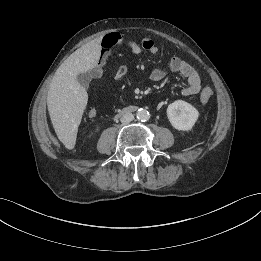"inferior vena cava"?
I'll return each mask as SVG.
<instances>
[{"label": "inferior vena cava", "mask_w": 261, "mask_h": 261, "mask_svg": "<svg viewBox=\"0 0 261 261\" xmlns=\"http://www.w3.org/2000/svg\"><path fill=\"white\" fill-rule=\"evenodd\" d=\"M133 119H134V115L130 112H126L121 115L120 121L122 123H128L131 122Z\"/></svg>", "instance_id": "1"}]
</instances>
